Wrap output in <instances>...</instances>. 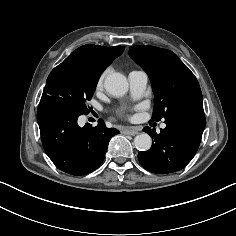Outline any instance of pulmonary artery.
<instances>
[{"instance_id": "1", "label": "pulmonary artery", "mask_w": 236, "mask_h": 236, "mask_svg": "<svg viewBox=\"0 0 236 236\" xmlns=\"http://www.w3.org/2000/svg\"><path fill=\"white\" fill-rule=\"evenodd\" d=\"M148 75L143 70H134L129 74L130 89L134 97H141L147 87ZM166 124L162 123L161 128H165Z\"/></svg>"}]
</instances>
